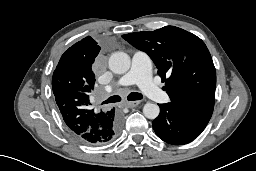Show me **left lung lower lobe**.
<instances>
[{"label": "left lung lower lobe", "instance_id": "obj_1", "mask_svg": "<svg viewBox=\"0 0 256 171\" xmlns=\"http://www.w3.org/2000/svg\"><path fill=\"white\" fill-rule=\"evenodd\" d=\"M160 114L152 122L163 141L183 145L193 141L205 129L209 119L175 103L160 104Z\"/></svg>", "mask_w": 256, "mask_h": 171}]
</instances>
